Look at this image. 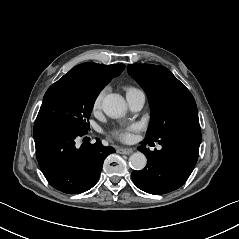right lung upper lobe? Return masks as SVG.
Instances as JSON below:
<instances>
[{
    "mask_svg": "<svg viewBox=\"0 0 239 239\" xmlns=\"http://www.w3.org/2000/svg\"><path fill=\"white\" fill-rule=\"evenodd\" d=\"M124 68V64L100 65L86 62L75 66L68 74L78 82L98 84L104 88L112 78L120 75Z\"/></svg>",
    "mask_w": 239,
    "mask_h": 239,
    "instance_id": "1",
    "label": "right lung upper lobe"
}]
</instances>
